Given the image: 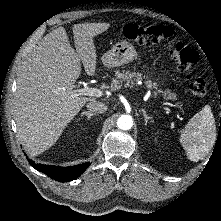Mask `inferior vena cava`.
I'll use <instances>...</instances> for the list:
<instances>
[{"label":"inferior vena cava","mask_w":221,"mask_h":221,"mask_svg":"<svg viewBox=\"0 0 221 221\" xmlns=\"http://www.w3.org/2000/svg\"><path fill=\"white\" fill-rule=\"evenodd\" d=\"M88 110L95 112V113H104L107 110V106L95 100L90 101L87 105Z\"/></svg>","instance_id":"1"}]
</instances>
